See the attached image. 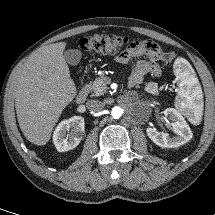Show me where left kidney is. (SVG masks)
Listing matches in <instances>:
<instances>
[{"mask_svg":"<svg viewBox=\"0 0 215 215\" xmlns=\"http://www.w3.org/2000/svg\"><path fill=\"white\" fill-rule=\"evenodd\" d=\"M164 115L169 116L172 121V130L176 136L170 137L168 133L159 132L155 128H147V136L159 147L174 148L179 147L192 139V131L186 123L184 117L174 108L164 110Z\"/></svg>","mask_w":215,"mask_h":215,"instance_id":"1","label":"left kidney"}]
</instances>
